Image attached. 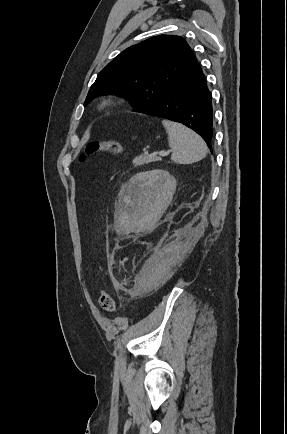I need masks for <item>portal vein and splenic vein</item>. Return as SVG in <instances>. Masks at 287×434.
I'll use <instances>...</instances> for the list:
<instances>
[{
  "label": "portal vein and splenic vein",
  "mask_w": 287,
  "mask_h": 434,
  "mask_svg": "<svg viewBox=\"0 0 287 434\" xmlns=\"http://www.w3.org/2000/svg\"><path fill=\"white\" fill-rule=\"evenodd\" d=\"M157 154H158L160 157H164V156H166V155L169 154V151H159V152H157Z\"/></svg>",
  "instance_id": "18ae733b"
}]
</instances>
